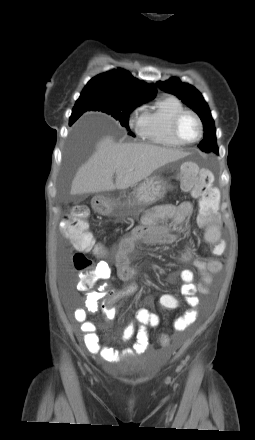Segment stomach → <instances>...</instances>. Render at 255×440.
Segmentation results:
<instances>
[{
  "label": "stomach",
  "instance_id": "1",
  "mask_svg": "<svg viewBox=\"0 0 255 440\" xmlns=\"http://www.w3.org/2000/svg\"><path fill=\"white\" fill-rule=\"evenodd\" d=\"M166 193V182L160 177L146 178L137 185L132 197L126 200H112L101 197L97 209L101 213L117 217L135 215L143 206L150 205L162 199Z\"/></svg>",
  "mask_w": 255,
  "mask_h": 440
}]
</instances>
